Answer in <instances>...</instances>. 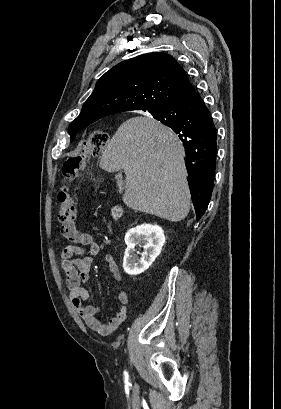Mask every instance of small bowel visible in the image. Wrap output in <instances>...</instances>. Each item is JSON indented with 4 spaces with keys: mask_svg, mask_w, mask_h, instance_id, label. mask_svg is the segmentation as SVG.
<instances>
[{
    "mask_svg": "<svg viewBox=\"0 0 281 409\" xmlns=\"http://www.w3.org/2000/svg\"><path fill=\"white\" fill-rule=\"evenodd\" d=\"M61 231L70 241V244L62 250L61 267L66 276V286L71 302L88 327L99 335L107 336L126 319L129 293L126 290L118 292L119 306L115 315L108 324L101 323L97 317L100 308L96 305L85 304L90 297V292L83 287V284L89 281L92 257L100 252V245L91 234L79 231L74 222L63 224ZM105 262L110 274L120 281L122 276L114 257L110 254L106 255Z\"/></svg>",
    "mask_w": 281,
    "mask_h": 409,
    "instance_id": "1",
    "label": "small bowel"
}]
</instances>
